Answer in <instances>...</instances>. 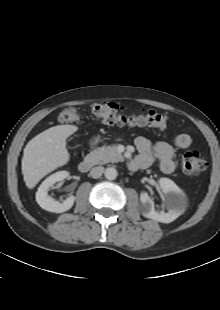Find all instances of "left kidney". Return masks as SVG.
Listing matches in <instances>:
<instances>
[{"label":"left kidney","mask_w":220,"mask_h":310,"mask_svg":"<svg viewBox=\"0 0 220 310\" xmlns=\"http://www.w3.org/2000/svg\"><path fill=\"white\" fill-rule=\"evenodd\" d=\"M159 185L162 191L167 195L166 196V205L171 207L175 199L182 200L184 198L183 191L170 179L160 178ZM140 201L142 203V214L143 216L153 219L162 223L172 222L178 213L171 209L168 213L161 211L160 213L155 211L154 202L148 196L146 192L140 194Z\"/></svg>","instance_id":"left-kidney-1"}]
</instances>
